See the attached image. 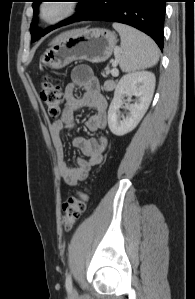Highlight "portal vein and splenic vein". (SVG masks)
<instances>
[{"label": "portal vein and splenic vein", "mask_w": 195, "mask_h": 299, "mask_svg": "<svg viewBox=\"0 0 195 299\" xmlns=\"http://www.w3.org/2000/svg\"><path fill=\"white\" fill-rule=\"evenodd\" d=\"M111 74H112V76H114V77H117V76H118L119 71H118V69L116 68V65H114L113 69L111 70Z\"/></svg>", "instance_id": "obj_1"}]
</instances>
